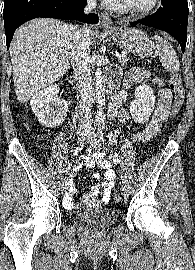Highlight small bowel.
Returning a JSON list of instances; mask_svg holds the SVG:
<instances>
[{
	"label": "small bowel",
	"mask_w": 195,
	"mask_h": 270,
	"mask_svg": "<svg viewBox=\"0 0 195 270\" xmlns=\"http://www.w3.org/2000/svg\"><path fill=\"white\" fill-rule=\"evenodd\" d=\"M148 73L143 70L135 69L129 72L125 78V85L127 87L131 86L133 83L140 81L142 79L148 78ZM154 83L158 88V103L157 108L147 123L145 128L133 136L134 140H148L153 137L161 128L163 123L167 120L170 105L172 102V93L169 89L165 88L163 82L160 79H154ZM126 98V93L124 91L117 93L112 101L111 113L113 116H117L121 121H126L129 119V114L121 109V105ZM116 141V135L112 134L110 136V142L114 143ZM118 161V157L115 153H112L109 159L105 158V152L95 151L94 149H89L87 154L82 158V162L88 168H93L98 165L104 170V181L99 183H94L91 186V194L86 195L82 198V202L87 204L95 202L98 200V196L101 195L100 202L102 204H107L110 201L111 189L115 186L116 173L112 165ZM94 180L100 178L98 172L92 174ZM76 193V188L72 184L67 194L64 197V204L67 208L73 207L72 196Z\"/></svg>",
	"instance_id": "obj_1"
}]
</instances>
